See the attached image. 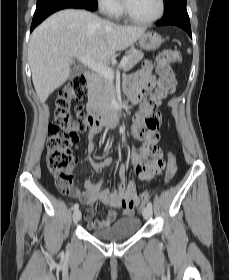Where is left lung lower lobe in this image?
<instances>
[{"instance_id": "left-lung-lower-lobe-1", "label": "left lung lower lobe", "mask_w": 229, "mask_h": 280, "mask_svg": "<svg viewBox=\"0 0 229 280\" xmlns=\"http://www.w3.org/2000/svg\"><path fill=\"white\" fill-rule=\"evenodd\" d=\"M158 26L175 25L184 29L192 38L191 26L186 6H178L172 12L165 14L162 20L157 22Z\"/></svg>"}]
</instances>
